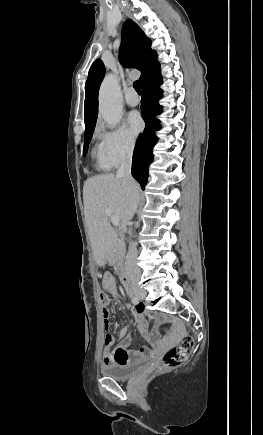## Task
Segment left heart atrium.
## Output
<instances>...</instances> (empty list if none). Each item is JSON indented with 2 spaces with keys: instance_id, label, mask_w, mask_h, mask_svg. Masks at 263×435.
I'll list each match as a JSON object with an SVG mask.
<instances>
[{
  "instance_id": "left-heart-atrium-1",
  "label": "left heart atrium",
  "mask_w": 263,
  "mask_h": 435,
  "mask_svg": "<svg viewBox=\"0 0 263 435\" xmlns=\"http://www.w3.org/2000/svg\"><path fill=\"white\" fill-rule=\"evenodd\" d=\"M127 121L132 134L137 135L143 130L144 122L138 112H131L128 115Z\"/></svg>"
}]
</instances>
